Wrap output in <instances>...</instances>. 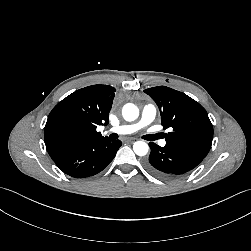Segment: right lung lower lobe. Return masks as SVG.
<instances>
[{"label": "right lung lower lobe", "instance_id": "right-lung-lower-lobe-1", "mask_svg": "<svg viewBox=\"0 0 251 251\" xmlns=\"http://www.w3.org/2000/svg\"><path fill=\"white\" fill-rule=\"evenodd\" d=\"M121 141L108 138L79 145L53 160L66 174L86 178L102 171L115 157Z\"/></svg>", "mask_w": 251, "mask_h": 251}]
</instances>
